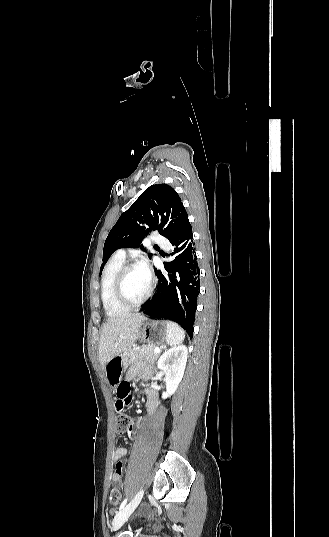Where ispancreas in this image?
Listing matches in <instances>:
<instances>
[{"instance_id": "pancreas-1", "label": "pancreas", "mask_w": 329, "mask_h": 537, "mask_svg": "<svg viewBox=\"0 0 329 537\" xmlns=\"http://www.w3.org/2000/svg\"><path fill=\"white\" fill-rule=\"evenodd\" d=\"M154 348L153 345H146L125 351L122 357L124 367L126 368L136 362L156 360L159 357V354L154 351Z\"/></svg>"}]
</instances>
